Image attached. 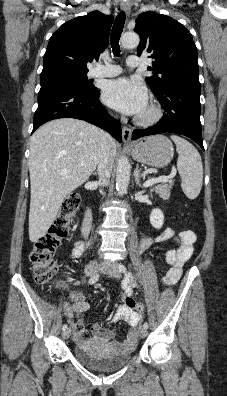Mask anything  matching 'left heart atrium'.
Masks as SVG:
<instances>
[{
	"label": "left heart atrium",
	"instance_id": "39dd6f15",
	"mask_svg": "<svg viewBox=\"0 0 227 396\" xmlns=\"http://www.w3.org/2000/svg\"><path fill=\"white\" fill-rule=\"evenodd\" d=\"M102 99L108 106L127 115H140L148 101L144 85L128 78L109 81L104 87Z\"/></svg>",
	"mask_w": 227,
	"mask_h": 396
}]
</instances>
